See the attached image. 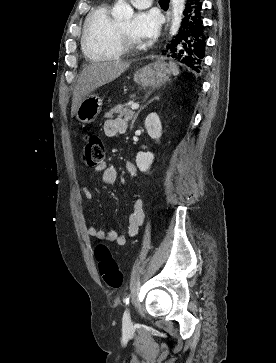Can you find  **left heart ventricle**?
Returning a JSON list of instances; mask_svg holds the SVG:
<instances>
[{"mask_svg": "<svg viewBox=\"0 0 276 363\" xmlns=\"http://www.w3.org/2000/svg\"><path fill=\"white\" fill-rule=\"evenodd\" d=\"M132 18L127 19L124 22L118 23L125 35L133 42L138 43V40L131 34Z\"/></svg>", "mask_w": 276, "mask_h": 363, "instance_id": "b2bd125f", "label": "left heart ventricle"}]
</instances>
